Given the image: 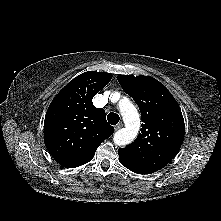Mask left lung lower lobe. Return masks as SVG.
Returning a JSON list of instances; mask_svg holds the SVG:
<instances>
[{
	"instance_id": "0a47b994",
	"label": "left lung lower lobe",
	"mask_w": 221,
	"mask_h": 221,
	"mask_svg": "<svg viewBox=\"0 0 221 221\" xmlns=\"http://www.w3.org/2000/svg\"><path fill=\"white\" fill-rule=\"evenodd\" d=\"M119 161L120 163L125 166L126 168H128L129 170L135 172V173H138V174H150V173H153L155 172L154 170L152 169H149V168H146V167H142L134 162H132L131 160L125 158V157H122L119 155Z\"/></svg>"
}]
</instances>
